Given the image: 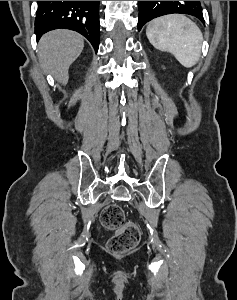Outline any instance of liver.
<instances>
[{
	"label": "liver",
	"instance_id": "1",
	"mask_svg": "<svg viewBox=\"0 0 237 300\" xmlns=\"http://www.w3.org/2000/svg\"><path fill=\"white\" fill-rule=\"evenodd\" d=\"M83 47L84 39L79 33L67 29L50 31L38 43L39 63L58 83L67 85L69 67L81 55Z\"/></svg>",
	"mask_w": 237,
	"mask_h": 300
}]
</instances>
